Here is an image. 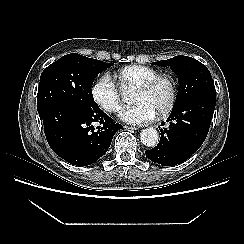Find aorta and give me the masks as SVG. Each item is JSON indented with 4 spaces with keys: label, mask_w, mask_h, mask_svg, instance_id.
<instances>
[{
    "label": "aorta",
    "mask_w": 244,
    "mask_h": 244,
    "mask_svg": "<svg viewBox=\"0 0 244 244\" xmlns=\"http://www.w3.org/2000/svg\"><path fill=\"white\" fill-rule=\"evenodd\" d=\"M141 143L147 147H154L159 141V134L154 128H146L140 133Z\"/></svg>",
    "instance_id": "aorta-1"
}]
</instances>
